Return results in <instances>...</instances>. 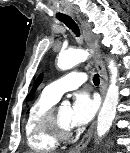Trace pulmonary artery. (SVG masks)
Wrapping results in <instances>:
<instances>
[{"mask_svg":"<svg viewBox=\"0 0 130 153\" xmlns=\"http://www.w3.org/2000/svg\"><path fill=\"white\" fill-rule=\"evenodd\" d=\"M86 79L87 76L84 73L72 72L50 83L46 86L45 91L53 98L59 100L65 92L77 89Z\"/></svg>","mask_w":130,"mask_h":153,"instance_id":"obj_1","label":"pulmonary artery"}]
</instances>
